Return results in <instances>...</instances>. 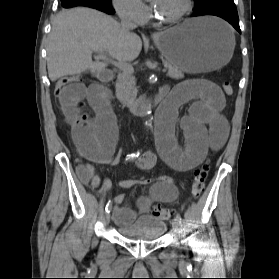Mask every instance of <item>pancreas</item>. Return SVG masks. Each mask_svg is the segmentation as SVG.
<instances>
[{
	"label": "pancreas",
	"mask_w": 279,
	"mask_h": 279,
	"mask_svg": "<svg viewBox=\"0 0 279 279\" xmlns=\"http://www.w3.org/2000/svg\"><path fill=\"white\" fill-rule=\"evenodd\" d=\"M164 65L168 68L167 76L172 79H182L184 74L181 70L174 67L168 60L163 59ZM133 73H119L116 81V97L123 103H129L136 97V86Z\"/></svg>",
	"instance_id": "obj_1"
}]
</instances>
